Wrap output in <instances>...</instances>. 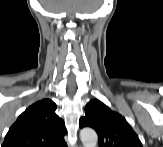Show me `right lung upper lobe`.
<instances>
[{
    "label": "right lung upper lobe",
    "mask_w": 163,
    "mask_h": 147,
    "mask_svg": "<svg viewBox=\"0 0 163 147\" xmlns=\"http://www.w3.org/2000/svg\"><path fill=\"white\" fill-rule=\"evenodd\" d=\"M56 104L43 99L28 107L9 129L2 147H64V121Z\"/></svg>",
    "instance_id": "cb5924a9"
}]
</instances>
